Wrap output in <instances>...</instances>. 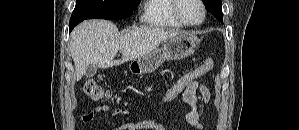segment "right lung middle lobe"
Masks as SVG:
<instances>
[{
    "mask_svg": "<svg viewBox=\"0 0 299 130\" xmlns=\"http://www.w3.org/2000/svg\"><path fill=\"white\" fill-rule=\"evenodd\" d=\"M141 0H76L72 13L73 19H109L117 20L128 17Z\"/></svg>",
    "mask_w": 299,
    "mask_h": 130,
    "instance_id": "dd1d6c3e",
    "label": "right lung middle lobe"
}]
</instances>
